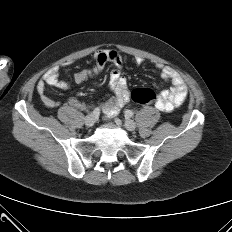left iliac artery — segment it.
I'll list each match as a JSON object with an SVG mask.
<instances>
[{
	"label": "left iliac artery",
	"instance_id": "1",
	"mask_svg": "<svg viewBox=\"0 0 232 232\" xmlns=\"http://www.w3.org/2000/svg\"><path fill=\"white\" fill-rule=\"evenodd\" d=\"M125 116H127V117H133L134 113L131 110H126L125 111Z\"/></svg>",
	"mask_w": 232,
	"mask_h": 232
}]
</instances>
